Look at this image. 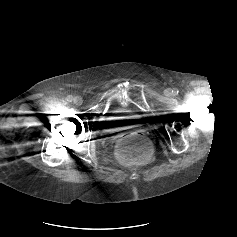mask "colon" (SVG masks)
Returning <instances> with one entry per match:
<instances>
[{
	"mask_svg": "<svg viewBox=\"0 0 237 237\" xmlns=\"http://www.w3.org/2000/svg\"><path fill=\"white\" fill-rule=\"evenodd\" d=\"M116 155L126 164H141L152 156V146L140 133H130L122 137L116 146Z\"/></svg>",
	"mask_w": 237,
	"mask_h": 237,
	"instance_id": "colon-1",
	"label": "colon"
}]
</instances>
